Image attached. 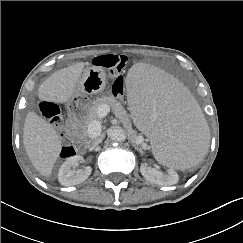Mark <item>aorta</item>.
<instances>
[{"mask_svg":"<svg viewBox=\"0 0 243 243\" xmlns=\"http://www.w3.org/2000/svg\"><path fill=\"white\" fill-rule=\"evenodd\" d=\"M109 136L113 141L122 142L126 139V133L122 128H114L110 130Z\"/></svg>","mask_w":243,"mask_h":243,"instance_id":"1","label":"aorta"}]
</instances>
